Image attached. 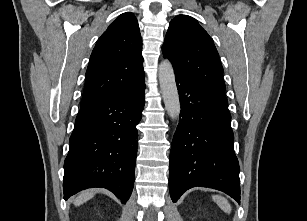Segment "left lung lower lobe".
Returning a JSON list of instances; mask_svg holds the SVG:
<instances>
[{
    "mask_svg": "<svg viewBox=\"0 0 307 221\" xmlns=\"http://www.w3.org/2000/svg\"><path fill=\"white\" fill-rule=\"evenodd\" d=\"M181 113L173 137L169 189L173 202L196 186L221 190L240 201L239 163L227 103L175 71Z\"/></svg>",
    "mask_w": 307,
    "mask_h": 221,
    "instance_id": "left-lung-lower-lobe-1",
    "label": "left lung lower lobe"
}]
</instances>
